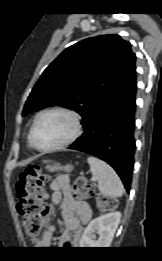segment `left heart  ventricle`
Instances as JSON below:
<instances>
[{
  "instance_id": "b2bd125f",
  "label": "left heart ventricle",
  "mask_w": 162,
  "mask_h": 261,
  "mask_svg": "<svg viewBox=\"0 0 162 261\" xmlns=\"http://www.w3.org/2000/svg\"><path fill=\"white\" fill-rule=\"evenodd\" d=\"M73 130L69 116L62 113L44 115L37 123L34 140L39 147H49L67 138Z\"/></svg>"
}]
</instances>
